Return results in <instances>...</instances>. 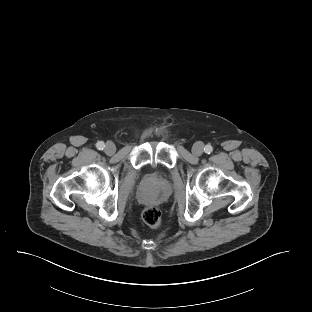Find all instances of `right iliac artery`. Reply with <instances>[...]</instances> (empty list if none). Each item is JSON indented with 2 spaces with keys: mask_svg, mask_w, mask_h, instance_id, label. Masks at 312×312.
Listing matches in <instances>:
<instances>
[{
  "mask_svg": "<svg viewBox=\"0 0 312 312\" xmlns=\"http://www.w3.org/2000/svg\"><path fill=\"white\" fill-rule=\"evenodd\" d=\"M96 147H97V149H99V150H103L104 147H105L104 142L99 141V142L96 144Z\"/></svg>",
  "mask_w": 312,
  "mask_h": 312,
  "instance_id": "82829eb1",
  "label": "right iliac artery"
}]
</instances>
